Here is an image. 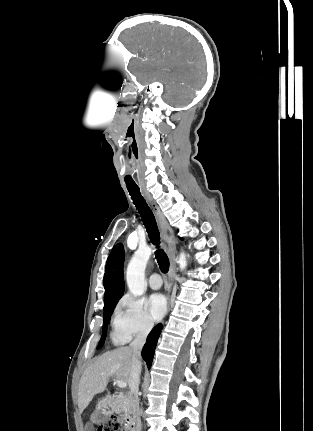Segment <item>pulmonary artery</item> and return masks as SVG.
Returning a JSON list of instances; mask_svg holds the SVG:
<instances>
[{
    "label": "pulmonary artery",
    "mask_w": 313,
    "mask_h": 431,
    "mask_svg": "<svg viewBox=\"0 0 313 431\" xmlns=\"http://www.w3.org/2000/svg\"><path fill=\"white\" fill-rule=\"evenodd\" d=\"M148 283L152 289L157 290L162 286V279L159 274L153 273L150 275Z\"/></svg>",
    "instance_id": "pulmonary-artery-1"
}]
</instances>
